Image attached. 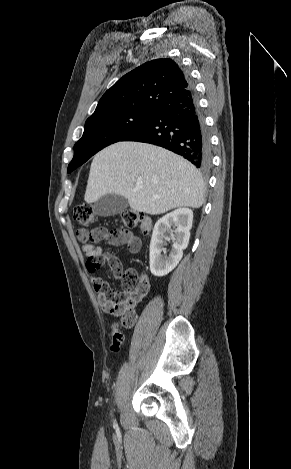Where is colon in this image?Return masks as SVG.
<instances>
[{
	"label": "colon",
	"instance_id": "1",
	"mask_svg": "<svg viewBox=\"0 0 291 469\" xmlns=\"http://www.w3.org/2000/svg\"><path fill=\"white\" fill-rule=\"evenodd\" d=\"M73 218L82 226L86 238L91 242H120L123 241L127 232L125 229L139 227L142 233L150 232L152 228L151 219L142 212L126 210L121 213V223L125 229L108 230L105 227L95 226L96 214L92 205L88 203L79 204L73 209ZM104 264L100 257L90 258L87 268L94 272ZM115 275L121 279L122 290L113 292L107 283H96L95 289L105 294L113 303V314L119 316L120 325L126 328L132 327L136 322V306L145 295L143 289L138 287V274L129 269L121 272L120 268H113ZM118 324L113 325L110 349L114 352L120 349L123 335L118 331Z\"/></svg>",
	"mask_w": 291,
	"mask_h": 469
}]
</instances>
